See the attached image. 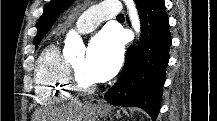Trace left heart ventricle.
I'll return each mask as SVG.
<instances>
[{"mask_svg": "<svg viewBox=\"0 0 217 121\" xmlns=\"http://www.w3.org/2000/svg\"><path fill=\"white\" fill-rule=\"evenodd\" d=\"M85 57H81L80 59L72 62L71 64L74 66V68L78 71V73L87 81H94L89 77V75L86 73L85 70Z\"/></svg>", "mask_w": 217, "mask_h": 121, "instance_id": "1", "label": "left heart ventricle"}]
</instances>
